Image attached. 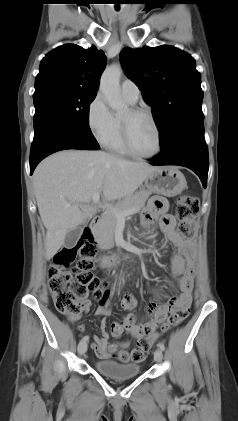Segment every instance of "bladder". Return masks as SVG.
<instances>
[{"label":"bladder","mask_w":238,"mask_h":421,"mask_svg":"<svg viewBox=\"0 0 238 421\" xmlns=\"http://www.w3.org/2000/svg\"><path fill=\"white\" fill-rule=\"evenodd\" d=\"M99 373L116 380L131 379L140 373V365L135 362H118L112 359H100L95 362Z\"/></svg>","instance_id":"1"}]
</instances>
